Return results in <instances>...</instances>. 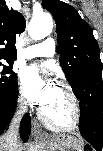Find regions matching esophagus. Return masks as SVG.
Returning a JSON list of instances; mask_svg holds the SVG:
<instances>
[{"label": "esophagus", "instance_id": "esophagus-1", "mask_svg": "<svg viewBox=\"0 0 103 151\" xmlns=\"http://www.w3.org/2000/svg\"><path fill=\"white\" fill-rule=\"evenodd\" d=\"M32 132L35 138L39 141H44L48 138V136L39 129L35 121L32 122Z\"/></svg>", "mask_w": 103, "mask_h": 151}]
</instances>
